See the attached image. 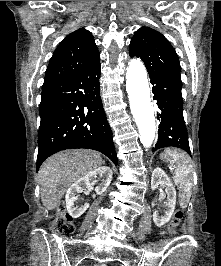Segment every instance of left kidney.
<instances>
[{
	"instance_id": "left-kidney-1",
	"label": "left kidney",
	"mask_w": 221,
	"mask_h": 266,
	"mask_svg": "<svg viewBox=\"0 0 221 266\" xmlns=\"http://www.w3.org/2000/svg\"><path fill=\"white\" fill-rule=\"evenodd\" d=\"M158 185L166 187L165 193L161 195V198L164 199L167 197V201L165 203L164 214L159 216L156 213L153 214V221L156 226L161 227L165 223H167L175 209L176 205V190L173 187V184L170 181V178L167 174L159 167L154 169L151 178V188L155 189Z\"/></svg>"
}]
</instances>
